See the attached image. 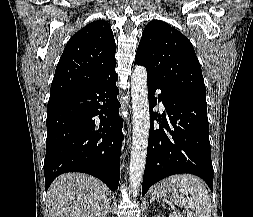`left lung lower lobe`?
<instances>
[{
	"label": "left lung lower lobe",
	"mask_w": 253,
	"mask_h": 217,
	"mask_svg": "<svg viewBox=\"0 0 253 217\" xmlns=\"http://www.w3.org/2000/svg\"><path fill=\"white\" fill-rule=\"evenodd\" d=\"M150 130L142 196L159 180L173 174L190 173L201 177L212 191L213 166L208 136L207 103L168 91L147 77ZM161 90L165 113L152 111ZM153 120L160 124H154Z\"/></svg>",
	"instance_id": "1"
}]
</instances>
